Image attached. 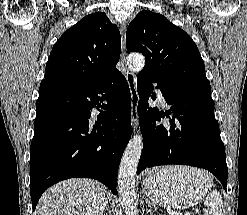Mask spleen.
<instances>
[{
	"label": "spleen",
	"mask_w": 247,
	"mask_h": 215,
	"mask_svg": "<svg viewBox=\"0 0 247 215\" xmlns=\"http://www.w3.org/2000/svg\"><path fill=\"white\" fill-rule=\"evenodd\" d=\"M207 178L210 179L208 175H207ZM204 205L208 209L207 215H223L222 214V208H223L222 196L216 190L212 191L210 194L207 195L204 201Z\"/></svg>",
	"instance_id": "obj_1"
}]
</instances>
